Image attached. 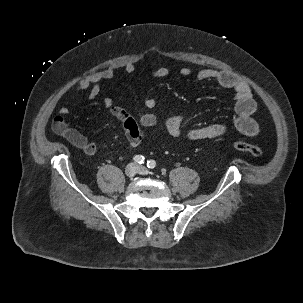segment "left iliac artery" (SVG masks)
I'll return each instance as SVG.
<instances>
[{
    "instance_id": "1",
    "label": "left iliac artery",
    "mask_w": 303,
    "mask_h": 303,
    "mask_svg": "<svg viewBox=\"0 0 303 303\" xmlns=\"http://www.w3.org/2000/svg\"><path fill=\"white\" fill-rule=\"evenodd\" d=\"M147 167L150 169H154L156 167V162L154 160L147 161Z\"/></svg>"
}]
</instances>
